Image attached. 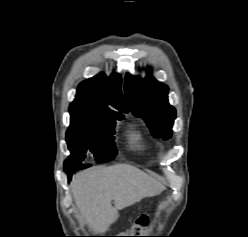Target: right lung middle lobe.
I'll use <instances>...</instances> for the list:
<instances>
[{
	"label": "right lung middle lobe",
	"instance_id": "dd1d6c3e",
	"mask_svg": "<svg viewBox=\"0 0 248 237\" xmlns=\"http://www.w3.org/2000/svg\"><path fill=\"white\" fill-rule=\"evenodd\" d=\"M71 120L66 133V141L70 150L69 159L64 168L81 165L86 152H91L97 162L112 160L116 155L114 127L116 119L123 116L100 117L69 108Z\"/></svg>",
	"mask_w": 248,
	"mask_h": 237
}]
</instances>
